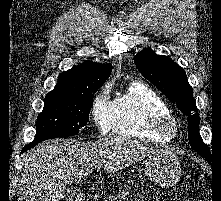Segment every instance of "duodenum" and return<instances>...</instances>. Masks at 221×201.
Masks as SVG:
<instances>
[{"instance_id":"obj_1","label":"duodenum","mask_w":221,"mask_h":201,"mask_svg":"<svg viewBox=\"0 0 221 201\" xmlns=\"http://www.w3.org/2000/svg\"><path fill=\"white\" fill-rule=\"evenodd\" d=\"M76 201H85V198L83 196L77 197Z\"/></svg>"}]
</instances>
